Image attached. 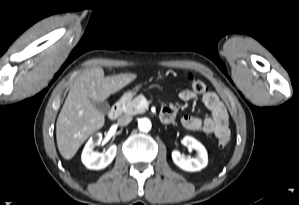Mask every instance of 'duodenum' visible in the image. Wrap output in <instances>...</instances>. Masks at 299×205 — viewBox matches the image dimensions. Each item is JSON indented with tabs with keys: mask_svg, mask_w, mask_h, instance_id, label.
<instances>
[{
	"mask_svg": "<svg viewBox=\"0 0 299 205\" xmlns=\"http://www.w3.org/2000/svg\"><path fill=\"white\" fill-rule=\"evenodd\" d=\"M123 101H124L123 99L118 101L111 108V110L109 112V118L111 120H115L121 114ZM160 118L163 122H166V123L171 121V116L168 113H165V112H161Z\"/></svg>",
	"mask_w": 299,
	"mask_h": 205,
	"instance_id": "1",
	"label": "duodenum"
}]
</instances>
